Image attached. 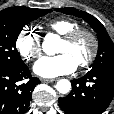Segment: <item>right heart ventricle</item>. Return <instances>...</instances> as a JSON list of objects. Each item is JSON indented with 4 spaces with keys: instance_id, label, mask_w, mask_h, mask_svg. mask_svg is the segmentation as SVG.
I'll list each match as a JSON object with an SVG mask.
<instances>
[{
    "instance_id": "right-heart-ventricle-1",
    "label": "right heart ventricle",
    "mask_w": 114,
    "mask_h": 114,
    "mask_svg": "<svg viewBox=\"0 0 114 114\" xmlns=\"http://www.w3.org/2000/svg\"><path fill=\"white\" fill-rule=\"evenodd\" d=\"M78 27V22L70 18H57L50 20L46 23V28L49 31H52L62 36Z\"/></svg>"
}]
</instances>
